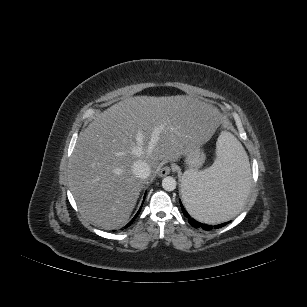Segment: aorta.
<instances>
[{"label": "aorta", "instance_id": "aorta-1", "mask_svg": "<svg viewBox=\"0 0 307 307\" xmlns=\"http://www.w3.org/2000/svg\"><path fill=\"white\" fill-rule=\"evenodd\" d=\"M177 182L176 180L171 177L167 176L162 180V187L165 191H173L176 189Z\"/></svg>", "mask_w": 307, "mask_h": 307}]
</instances>
